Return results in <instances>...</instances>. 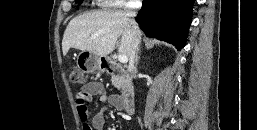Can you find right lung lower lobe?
<instances>
[{
	"label": "right lung lower lobe",
	"instance_id": "right-lung-lower-lobe-1",
	"mask_svg": "<svg viewBox=\"0 0 257 130\" xmlns=\"http://www.w3.org/2000/svg\"><path fill=\"white\" fill-rule=\"evenodd\" d=\"M193 3L194 0H143L136 21L148 37L167 41L181 49L192 21Z\"/></svg>",
	"mask_w": 257,
	"mask_h": 130
}]
</instances>
